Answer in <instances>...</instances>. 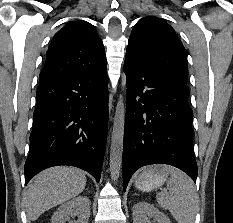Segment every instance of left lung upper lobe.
<instances>
[{
	"label": "left lung upper lobe",
	"instance_id": "left-lung-upper-lobe-1",
	"mask_svg": "<svg viewBox=\"0 0 233 223\" xmlns=\"http://www.w3.org/2000/svg\"><path fill=\"white\" fill-rule=\"evenodd\" d=\"M127 51L166 77L187 84V51L174 29L156 17H144L134 26Z\"/></svg>",
	"mask_w": 233,
	"mask_h": 223
}]
</instances>
